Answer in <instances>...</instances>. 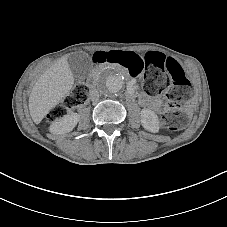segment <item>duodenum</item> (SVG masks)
<instances>
[{"label": "duodenum", "mask_w": 227, "mask_h": 227, "mask_svg": "<svg viewBox=\"0 0 227 227\" xmlns=\"http://www.w3.org/2000/svg\"><path fill=\"white\" fill-rule=\"evenodd\" d=\"M127 93L131 97H135L142 106H145L146 105V96L145 95L138 96V93L135 92V90L133 88V83L132 82H129V88H128Z\"/></svg>", "instance_id": "410a0bca"}]
</instances>
